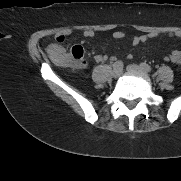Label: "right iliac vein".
I'll return each mask as SVG.
<instances>
[{
	"label": "right iliac vein",
	"instance_id": "obj_1",
	"mask_svg": "<svg viewBox=\"0 0 181 181\" xmlns=\"http://www.w3.org/2000/svg\"><path fill=\"white\" fill-rule=\"evenodd\" d=\"M121 72H122V69H121L120 67H115V68L113 69V75H114V77H118V76L121 74Z\"/></svg>",
	"mask_w": 181,
	"mask_h": 181
}]
</instances>
